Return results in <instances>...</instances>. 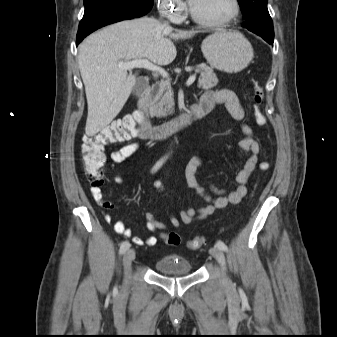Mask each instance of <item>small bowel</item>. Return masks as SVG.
<instances>
[{
  "label": "small bowel",
  "instance_id": "c3829d8e",
  "mask_svg": "<svg viewBox=\"0 0 337 337\" xmlns=\"http://www.w3.org/2000/svg\"><path fill=\"white\" fill-rule=\"evenodd\" d=\"M200 102L209 105L212 109L214 104H225L231 116L236 120H242L245 116L244 108L237 97V95L229 89L210 90L206 91L200 98ZM243 138L239 142L240 149L247 153V159L242 169L236 175V186L233 190L217 187L213 182H209L207 186H203L198 182L196 173L204 165L205 161L201 156H193L185 167V178L188 186L192 188L198 197H200L206 204L199 208H186L180 211L179 217L175 215L169 216L171 225L179 228L181 224H191L195 221L203 220L228 205H237L247 193L248 181L254 172L258 163V154L260 151L259 143L253 138L251 128L243 124L241 126ZM140 149L138 142H131L123 145L119 149L111 152L110 160L113 163H121L131 156L135 155ZM118 184L123 183L120 176L114 178ZM153 188L156 193L163 192V185L160 181L153 183ZM90 193L97 204L104 210H111L114 208L113 203L103 198L100 186L92 185ZM104 219L107 222H112L113 217L110 213L104 214ZM146 226L150 231H163L166 229V224L157 220L152 213L146 214ZM114 230L117 234L125 237H132L136 245L155 246L158 238L155 236H148L145 239L132 236V230L126 226L124 221L117 220L114 223Z\"/></svg>",
  "mask_w": 337,
  "mask_h": 337
}]
</instances>
